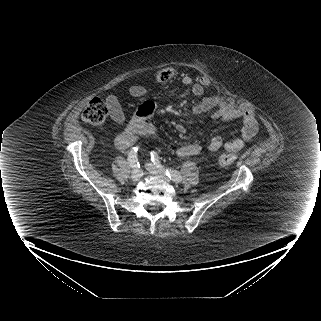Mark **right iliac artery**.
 <instances>
[{
  "instance_id": "right-iliac-artery-1",
  "label": "right iliac artery",
  "mask_w": 321,
  "mask_h": 321,
  "mask_svg": "<svg viewBox=\"0 0 321 321\" xmlns=\"http://www.w3.org/2000/svg\"><path fill=\"white\" fill-rule=\"evenodd\" d=\"M137 151H138V148L134 147V148H132V150L128 154L127 160H128L130 167L133 169L140 167V164H139L138 158H137Z\"/></svg>"
}]
</instances>
